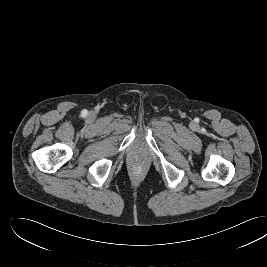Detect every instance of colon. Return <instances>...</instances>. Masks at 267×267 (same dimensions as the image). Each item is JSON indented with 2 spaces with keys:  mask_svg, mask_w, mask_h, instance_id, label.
Instances as JSON below:
<instances>
[{
  "mask_svg": "<svg viewBox=\"0 0 267 267\" xmlns=\"http://www.w3.org/2000/svg\"><path fill=\"white\" fill-rule=\"evenodd\" d=\"M136 169H137V170H139L140 168H139V167H137Z\"/></svg>",
  "mask_w": 267,
  "mask_h": 267,
  "instance_id": "colon-1",
  "label": "colon"
}]
</instances>
